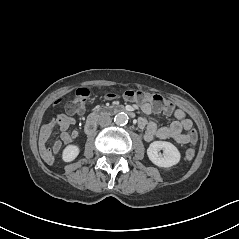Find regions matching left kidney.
I'll return each instance as SVG.
<instances>
[{
    "label": "left kidney",
    "instance_id": "1",
    "mask_svg": "<svg viewBox=\"0 0 239 239\" xmlns=\"http://www.w3.org/2000/svg\"><path fill=\"white\" fill-rule=\"evenodd\" d=\"M161 150L163 153H160ZM147 155L159 167H171L180 161L178 149L172 143L166 141L152 142L147 149Z\"/></svg>",
    "mask_w": 239,
    "mask_h": 239
}]
</instances>
